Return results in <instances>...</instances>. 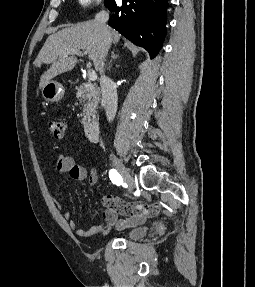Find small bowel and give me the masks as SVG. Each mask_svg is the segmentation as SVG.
<instances>
[{"instance_id":"1","label":"small bowel","mask_w":255,"mask_h":287,"mask_svg":"<svg viewBox=\"0 0 255 287\" xmlns=\"http://www.w3.org/2000/svg\"><path fill=\"white\" fill-rule=\"evenodd\" d=\"M56 170L59 174H67L75 181H83L87 178L91 182L96 181L94 173L88 176L87 170L76 164L74 159L68 155H60L56 162ZM52 200L62 217L69 221V227L78 236L83 238L92 237L97 234H106L111 229L124 230L130 227L143 224L148 218L156 216L160 211V206L156 203H125L116 196L107 195L102 198V204L105 206L103 212L104 222L92 226L89 229H82L78 222L71 217L70 212L65 208L58 191L53 189L51 192ZM119 215L125 216L124 219H118ZM154 226L162 229L160 222H155Z\"/></svg>"}]
</instances>
